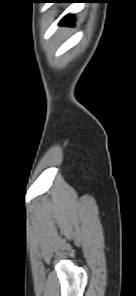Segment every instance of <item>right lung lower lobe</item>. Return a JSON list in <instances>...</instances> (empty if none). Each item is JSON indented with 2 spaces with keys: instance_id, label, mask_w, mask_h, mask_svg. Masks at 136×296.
<instances>
[{
  "instance_id": "obj_1",
  "label": "right lung lower lobe",
  "mask_w": 136,
  "mask_h": 296,
  "mask_svg": "<svg viewBox=\"0 0 136 296\" xmlns=\"http://www.w3.org/2000/svg\"><path fill=\"white\" fill-rule=\"evenodd\" d=\"M76 0H57L55 3H73ZM61 24L63 25H73V16L71 15H67L65 16L62 21Z\"/></svg>"
}]
</instances>
